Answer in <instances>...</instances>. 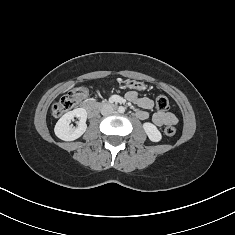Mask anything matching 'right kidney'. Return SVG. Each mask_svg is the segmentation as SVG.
Here are the masks:
<instances>
[{"label":"right kidney","mask_w":235,"mask_h":235,"mask_svg":"<svg viewBox=\"0 0 235 235\" xmlns=\"http://www.w3.org/2000/svg\"><path fill=\"white\" fill-rule=\"evenodd\" d=\"M74 117L79 118L77 127H72L70 125ZM86 119L87 112L83 108H77L67 112L56 123L54 128L55 135L64 141H73L78 139L87 129Z\"/></svg>","instance_id":"right-kidney-1"}]
</instances>
